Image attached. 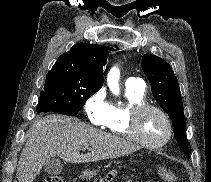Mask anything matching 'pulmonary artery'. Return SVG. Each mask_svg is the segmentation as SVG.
<instances>
[{
    "instance_id": "pulmonary-artery-1",
    "label": "pulmonary artery",
    "mask_w": 211,
    "mask_h": 182,
    "mask_svg": "<svg viewBox=\"0 0 211 182\" xmlns=\"http://www.w3.org/2000/svg\"><path fill=\"white\" fill-rule=\"evenodd\" d=\"M126 88L134 89L138 91H144L145 90V84L138 78L131 77L127 79L125 83Z\"/></svg>"
}]
</instances>
